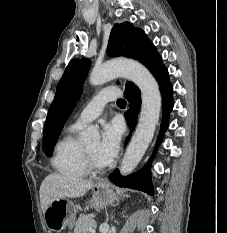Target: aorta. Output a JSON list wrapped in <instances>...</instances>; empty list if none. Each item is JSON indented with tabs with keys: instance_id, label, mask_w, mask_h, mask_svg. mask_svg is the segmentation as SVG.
<instances>
[{
	"instance_id": "obj_1",
	"label": "aorta",
	"mask_w": 227,
	"mask_h": 233,
	"mask_svg": "<svg viewBox=\"0 0 227 233\" xmlns=\"http://www.w3.org/2000/svg\"><path fill=\"white\" fill-rule=\"evenodd\" d=\"M116 77H125L134 82L141 91L142 105L136 131L124 154L120 173L126 176L133 172L145 154L159 121L161 94L155 78L142 64L132 60L110 61L95 67L89 76L92 85H101ZM99 131L89 126L81 135L83 142L98 141Z\"/></svg>"
}]
</instances>
